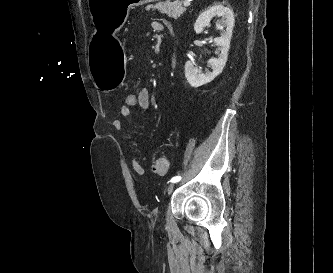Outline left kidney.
I'll list each match as a JSON object with an SVG mask.
<instances>
[{
	"mask_svg": "<svg viewBox=\"0 0 333 273\" xmlns=\"http://www.w3.org/2000/svg\"><path fill=\"white\" fill-rule=\"evenodd\" d=\"M214 17L222 18L220 20L222 26L221 36L213 39V42L218 46V50L221 53L218 55V58H211L208 61V64L212 68L211 72L202 73L193 62H186L185 77L192 87H199L214 80L223 71L228 58L230 40L235 23L233 11L229 7H224L222 4H215L208 8L197 18L194 30L197 34L201 33Z\"/></svg>",
	"mask_w": 333,
	"mask_h": 273,
	"instance_id": "5707ae66",
	"label": "left kidney"
}]
</instances>
